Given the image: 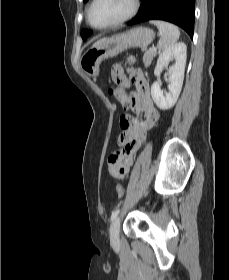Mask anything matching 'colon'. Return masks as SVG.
Returning <instances> with one entry per match:
<instances>
[{
  "label": "colon",
  "instance_id": "colon-1",
  "mask_svg": "<svg viewBox=\"0 0 229 280\" xmlns=\"http://www.w3.org/2000/svg\"><path fill=\"white\" fill-rule=\"evenodd\" d=\"M128 71L131 73V75L133 76V79L135 80L137 78L139 70H137L133 67H130L128 69ZM131 122H132L131 116H129L127 114H124L120 117V126L123 129L130 127ZM124 156H125V152L122 150L111 153V155L109 157L110 171L119 173V174H123L127 171L128 165H129V160H123ZM116 192L119 196H122L124 194V190L121 185L116 186Z\"/></svg>",
  "mask_w": 229,
  "mask_h": 280
}]
</instances>
